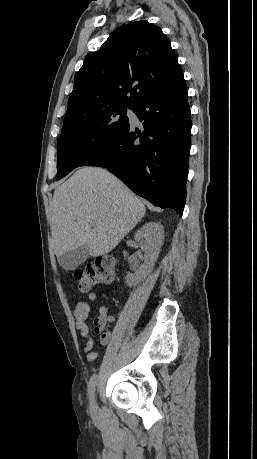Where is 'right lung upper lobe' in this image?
<instances>
[{
	"label": "right lung upper lobe",
	"instance_id": "1",
	"mask_svg": "<svg viewBox=\"0 0 257 459\" xmlns=\"http://www.w3.org/2000/svg\"><path fill=\"white\" fill-rule=\"evenodd\" d=\"M181 74L158 26L144 20L121 26L86 56L75 75L62 129L110 108L135 107Z\"/></svg>",
	"mask_w": 257,
	"mask_h": 459
}]
</instances>
